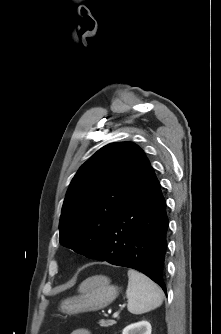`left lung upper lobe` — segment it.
I'll list each match as a JSON object with an SVG mask.
<instances>
[{
  "label": "left lung upper lobe",
  "mask_w": 221,
  "mask_h": 334,
  "mask_svg": "<svg viewBox=\"0 0 221 334\" xmlns=\"http://www.w3.org/2000/svg\"><path fill=\"white\" fill-rule=\"evenodd\" d=\"M150 163L132 142L98 150L71 181L60 218V243L97 259L113 218L142 179Z\"/></svg>",
  "instance_id": "obj_1"
}]
</instances>
